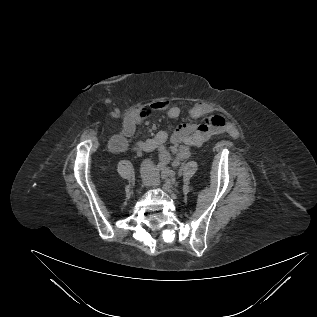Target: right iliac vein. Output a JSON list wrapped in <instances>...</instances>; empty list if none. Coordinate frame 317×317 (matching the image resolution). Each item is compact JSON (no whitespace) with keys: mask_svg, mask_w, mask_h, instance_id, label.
I'll return each instance as SVG.
<instances>
[{"mask_svg":"<svg viewBox=\"0 0 317 317\" xmlns=\"http://www.w3.org/2000/svg\"><path fill=\"white\" fill-rule=\"evenodd\" d=\"M141 176L143 177V179H147L149 176V171L147 168H143L141 171Z\"/></svg>","mask_w":317,"mask_h":317,"instance_id":"obj_1","label":"right iliac vein"}]
</instances>
